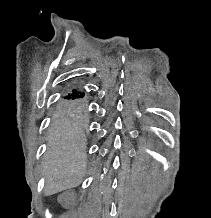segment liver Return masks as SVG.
Here are the masks:
<instances>
[{"label": "liver", "mask_w": 211, "mask_h": 218, "mask_svg": "<svg viewBox=\"0 0 211 218\" xmlns=\"http://www.w3.org/2000/svg\"><path fill=\"white\" fill-rule=\"evenodd\" d=\"M85 142L81 128L69 118H63L60 130L52 128L47 160L43 166L47 176L46 196L75 188L82 182L86 166Z\"/></svg>", "instance_id": "1"}]
</instances>
